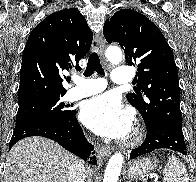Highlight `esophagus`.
<instances>
[{"instance_id":"1","label":"esophagus","mask_w":196,"mask_h":182,"mask_svg":"<svg viewBox=\"0 0 196 182\" xmlns=\"http://www.w3.org/2000/svg\"><path fill=\"white\" fill-rule=\"evenodd\" d=\"M93 48L101 55H104L105 51V41L102 36L96 35L92 42ZM96 152L99 157V159H104L109 156L111 153V147L110 146H98L96 147Z\"/></svg>"}]
</instances>
